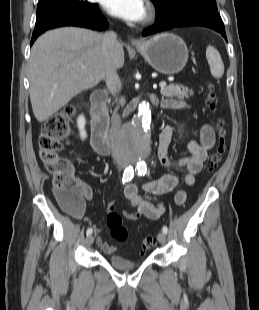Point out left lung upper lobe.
I'll return each instance as SVG.
<instances>
[{"mask_svg":"<svg viewBox=\"0 0 259 310\" xmlns=\"http://www.w3.org/2000/svg\"><path fill=\"white\" fill-rule=\"evenodd\" d=\"M157 8L156 23H162L189 12H217L215 0H152Z\"/></svg>","mask_w":259,"mask_h":310,"instance_id":"1","label":"left lung upper lobe"}]
</instances>
